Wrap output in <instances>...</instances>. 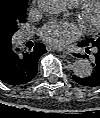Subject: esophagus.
Listing matches in <instances>:
<instances>
[{
    "mask_svg": "<svg viewBox=\"0 0 100 118\" xmlns=\"http://www.w3.org/2000/svg\"><path fill=\"white\" fill-rule=\"evenodd\" d=\"M46 49H47L48 51H62L64 54H69V53L66 52V51L57 49V48H55V47H53V46H50V45H47V46H46Z\"/></svg>",
    "mask_w": 100,
    "mask_h": 118,
    "instance_id": "1",
    "label": "esophagus"
}]
</instances>
